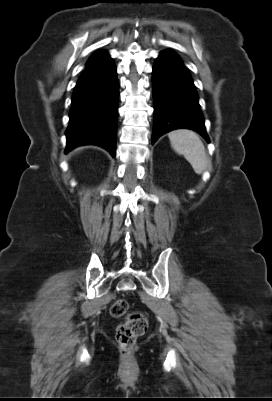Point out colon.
<instances>
[{
    "mask_svg": "<svg viewBox=\"0 0 272 401\" xmlns=\"http://www.w3.org/2000/svg\"><path fill=\"white\" fill-rule=\"evenodd\" d=\"M128 308L129 304L124 298L116 299L110 307L113 317L125 315V321L118 326L116 331L117 342L125 355L131 352L137 339L146 332L148 327L147 318L143 313L128 311Z\"/></svg>",
    "mask_w": 272,
    "mask_h": 401,
    "instance_id": "colon-1",
    "label": "colon"
}]
</instances>
